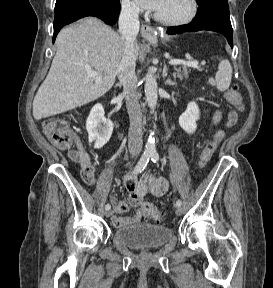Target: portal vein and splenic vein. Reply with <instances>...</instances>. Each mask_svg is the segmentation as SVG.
<instances>
[{"label":"portal vein and splenic vein","instance_id":"obj_1","mask_svg":"<svg viewBox=\"0 0 273 288\" xmlns=\"http://www.w3.org/2000/svg\"><path fill=\"white\" fill-rule=\"evenodd\" d=\"M170 65H185L188 67H193V68H198V62L192 61V62H187V61H181V60H170L169 61ZM89 76L91 77H97L96 82H101V75L96 72V71H91L88 73Z\"/></svg>","mask_w":273,"mask_h":288}]
</instances>
